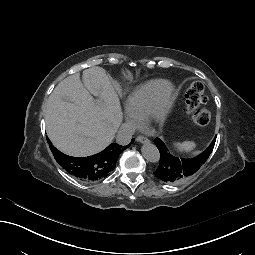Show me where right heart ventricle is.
<instances>
[{
    "mask_svg": "<svg viewBox=\"0 0 255 255\" xmlns=\"http://www.w3.org/2000/svg\"><path fill=\"white\" fill-rule=\"evenodd\" d=\"M164 85L163 80H150L132 89L125 97V108L129 116L134 119L145 116Z\"/></svg>",
    "mask_w": 255,
    "mask_h": 255,
    "instance_id": "e07e8e85",
    "label": "right heart ventricle"
}]
</instances>
